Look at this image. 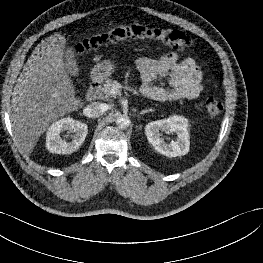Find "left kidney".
Returning <instances> with one entry per match:
<instances>
[{"instance_id":"obj_1","label":"left kidney","mask_w":263,"mask_h":263,"mask_svg":"<svg viewBox=\"0 0 263 263\" xmlns=\"http://www.w3.org/2000/svg\"><path fill=\"white\" fill-rule=\"evenodd\" d=\"M188 120L182 116H171L167 119L150 122L145 127L149 143L157 152L167 157H177L189 152ZM161 132L176 133L177 137L167 143Z\"/></svg>"}]
</instances>
